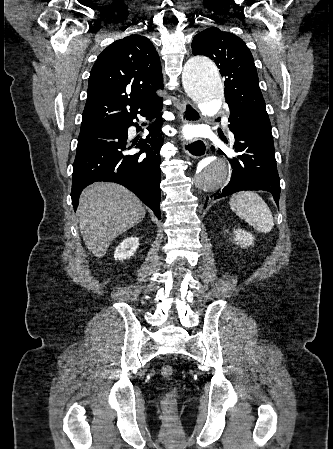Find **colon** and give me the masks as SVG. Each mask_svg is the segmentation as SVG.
<instances>
[{
    "label": "colon",
    "instance_id": "obj_1",
    "mask_svg": "<svg viewBox=\"0 0 333 449\" xmlns=\"http://www.w3.org/2000/svg\"><path fill=\"white\" fill-rule=\"evenodd\" d=\"M161 374L165 378H171L174 375V369L170 365H165L161 369ZM177 400V391L172 390L164 397L163 404L167 409H173Z\"/></svg>",
    "mask_w": 333,
    "mask_h": 449
}]
</instances>
